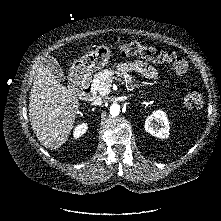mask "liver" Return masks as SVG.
Wrapping results in <instances>:
<instances>
[{
	"label": "liver",
	"mask_w": 221,
	"mask_h": 221,
	"mask_svg": "<svg viewBox=\"0 0 221 221\" xmlns=\"http://www.w3.org/2000/svg\"><path fill=\"white\" fill-rule=\"evenodd\" d=\"M79 106L74 92L61 84L42 64L31 89L29 118L44 147L58 149L68 140Z\"/></svg>",
	"instance_id": "obj_1"
}]
</instances>
